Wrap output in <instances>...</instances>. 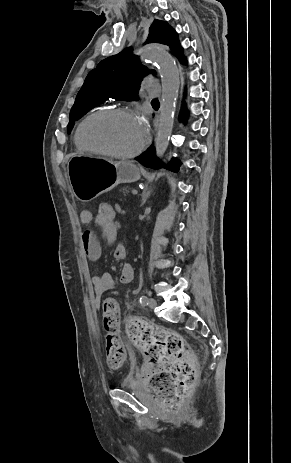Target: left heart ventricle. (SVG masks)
<instances>
[{"label":"left heart ventricle","instance_id":"left-heart-ventricle-1","mask_svg":"<svg viewBox=\"0 0 291 463\" xmlns=\"http://www.w3.org/2000/svg\"><path fill=\"white\" fill-rule=\"evenodd\" d=\"M85 136L96 146L126 153L140 145L144 133L136 119L114 116L91 121L85 129Z\"/></svg>","mask_w":291,"mask_h":463}]
</instances>
